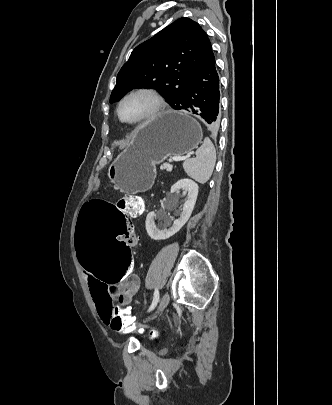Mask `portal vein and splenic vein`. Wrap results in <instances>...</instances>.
<instances>
[{
  "label": "portal vein and splenic vein",
  "instance_id": "portal-vein-and-splenic-vein-1",
  "mask_svg": "<svg viewBox=\"0 0 332 405\" xmlns=\"http://www.w3.org/2000/svg\"><path fill=\"white\" fill-rule=\"evenodd\" d=\"M186 159V157H174V158H172V159H170V161L172 162V161H183V160H185ZM170 169H171V166H170Z\"/></svg>",
  "mask_w": 332,
  "mask_h": 405
}]
</instances>
